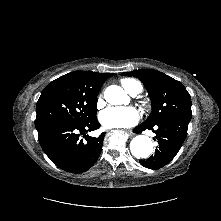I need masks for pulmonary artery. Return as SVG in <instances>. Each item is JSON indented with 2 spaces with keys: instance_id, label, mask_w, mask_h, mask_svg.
Segmentation results:
<instances>
[{
  "instance_id": "e3ab8cb5",
  "label": "pulmonary artery",
  "mask_w": 221,
  "mask_h": 221,
  "mask_svg": "<svg viewBox=\"0 0 221 221\" xmlns=\"http://www.w3.org/2000/svg\"><path fill=\"white\" fill-rule=\"evenodd\" d=\"M130 94H131L132 96H135V95L138 94V90H137V89H133V90L130 92Z\"/></svg>"
}]
</instances>
